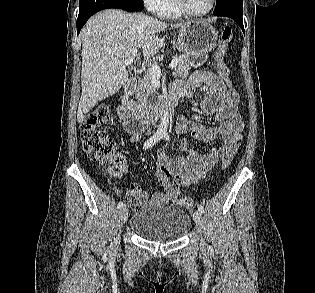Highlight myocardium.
<instances>
[{
    "label": "myocardium",
    "mask_w": 315,
    "mask_h": 293,
    "mask_svg": "<svg viewBox=\"0 0 315 293\" xmlns=\"http://www.w3.org/2000/svg\"><path fill=\"white\" fill-rule=\"evenodd\" d=\"M216 0H210L209 7L203 12H193L191 11L186 3V0H175L177 8L186 16L189 17H203L208 15L214 8Z\"/></svg>",
    "instance_id": "f54148a6"
}]
</instances>
